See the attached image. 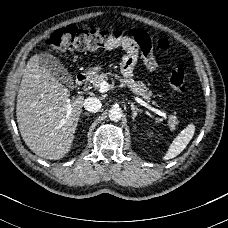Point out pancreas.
<instances>
[{"label":"pancreas","mask_w":228,"mask_h":228,"mask_svg":"<svg viewBox=\"0 0 228 228\" xmlns=\"http://www.w3.org/2000/svg\"><path fill=\"white\" fill-rule=\"evenodd\" d=\"M112 75V73H102V74H95L91 78L94 88L99 89L100 83L103 81L108 80V76ZM120 82L125 83L130 90L139 96H142L146 101H150V97L152 96V91L146 87V85L141 81H134L133 79L126 80L120 79ZM154 103V102H153ZM179 121L177 120L176 116H169L168 124L170 125L171 129L174 130L175 125L178 124Z\"/></svg>","instance_id":"cf45deb5"}]
</instances>
